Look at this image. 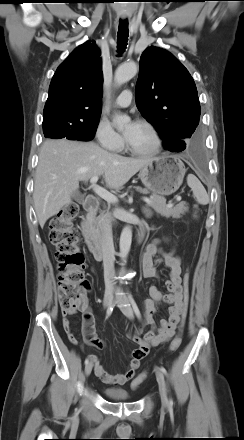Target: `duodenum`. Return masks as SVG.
Segmentation results:
<instances>
[{"mask_svg":"<svg viewBox=\"0 0 244 440\" xmlns=\"http://www.w3.org/2000/svg\"><path fill=\"white\" fill-rule=\"evenodd\" d=\"M99 199L95 196H89L86 198L84 202V210L85 213L82 216L81 222H80V230L84 237V240L88 246L89 251L94 256L96 260H102L103 259V249L102 245L95 234L92 226V221L94 218V214L97 211L99 207ZM145 235V230L140 229L137 235V242L140 243Z\"/></svg>","mask_w":244,"mask_h":440,"instance_id":"410a0bca","label":"duodenum"}]
</instances>
